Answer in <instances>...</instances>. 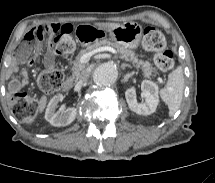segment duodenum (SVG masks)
<instances>
[{
    "label": "duodenum",
    "instance_id": "1",
    "mask_svg": "<svg viewBox=\"0 0 215 183\" xmlns=\"http://www.w3.org/2000/svg\"><path fill=\"white\" fill-rule=\"evenodd\" d=\"M73 86V83L71 80H66L63 84H62V89L64 91H69Z\"/></svg>",
    "mask_w": 215,
    "mask_h": 183
}]
</instances>
